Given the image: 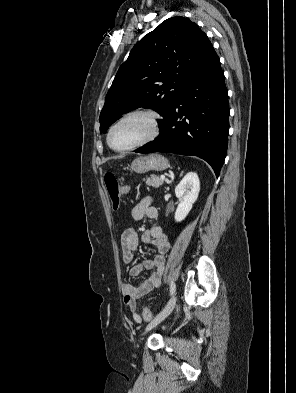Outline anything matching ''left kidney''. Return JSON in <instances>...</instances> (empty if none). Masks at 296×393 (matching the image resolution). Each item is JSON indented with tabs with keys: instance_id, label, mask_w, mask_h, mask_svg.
I'll return each instance as SVG.
<instances>
[{
	"instance_id": "1",
	"label": "left kidney",
	"mask_w": 296,
	"mask_h": 393,
	"mask_svg": "<svg viewBox=\"0 0 296 393\" xmlns=\"http://www.w3.org/2000/svg\"><path fill=\"white\" fill-rule=\"evenodd\" d=\"M200 181L196 172L187 173L175 188L179 204L175 212V220L180 222L186 218L198 198Z\"/></svg>"
}]
</instances>
